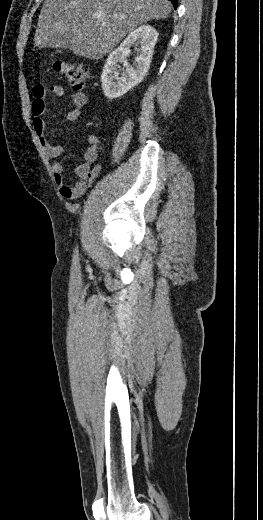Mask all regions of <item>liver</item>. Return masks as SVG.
<instances>
[{
	"label": "liver",
	"mask_w": 263,
	"mask_h": 520,
	"mask_svg": "<svg viewBox=\"0 0 263 520\" xmlns=\"http://www.w3.org/2000/svg\"><path fill=\"white\" fill-rule=\"evenodd\" d=\"M168 0H45L35 33V46L51 47L55 34H66L73 54L99 59L129 33L171 12ZM103 13L101 19L93 17ZM124 16L125 18H114Z\"/></svg>",
	"instance_id": "liver-1"
}]
</instances>
